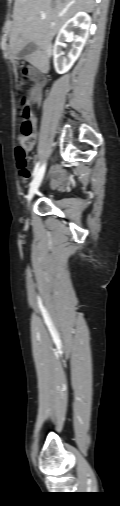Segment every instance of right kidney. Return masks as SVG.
<instances>
[{"label":"right kidney","instance_id":"1","mask_svg":"<svg viewBox=\"0 0 120 506\" xmlns=\"http://www.w3.org/2000/svg\"><path fill=\"white\" fill-rule=\"evenodd\" d=\"M90 26V16L85 12H78L61 27L53 49L54 67L57 73H66L78 59L88 39ZM75 27L80 29L76 36L72 32ZM68 40H72L73 45L68 55L65 56L61 48L66 45L65 42Z\"/></svg>","mask_w":120,"mask_h":506}]
</instances>
